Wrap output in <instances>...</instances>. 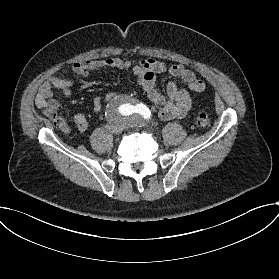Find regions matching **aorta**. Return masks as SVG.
Instances as JSON below:
<instances>
[{"label": "aorta", "instance_id": "1", "mask_svg": "<svg viewBox=\"0 0 279 279\" xmlns=\"http://www.w3.org/2000/svg\"><path fill=\"white\" fill-rule=\"evenodd\" d=\"M111 110L128 113L130 110V103L126 97L118 98L111 104Z\"/></svg>", "mask_w": 279, "mask_h": 279}]
</instances>
